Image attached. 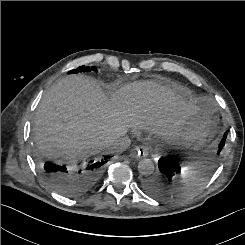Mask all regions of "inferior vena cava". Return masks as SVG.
I'll return each instance as SVG.
<instances>
[{
	"label": "inferior vena cava",
	"instance_id": "1",
	"mask_svg": "<svg viewBox=\"0 0 245 245\" xmlns=\"http://www.w3.org/2000/svg\"><path fill=\"white\" fill-rule=\"evenodd\" d=\"M131 144V141L127 135H121L115 140L109 141L107 147L113 153H121L126 150Z\"/></svg>",
	"mask_w": 245,
	"mask_h": 245
}]
</instances>
